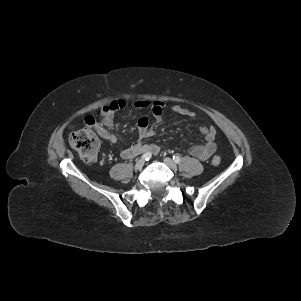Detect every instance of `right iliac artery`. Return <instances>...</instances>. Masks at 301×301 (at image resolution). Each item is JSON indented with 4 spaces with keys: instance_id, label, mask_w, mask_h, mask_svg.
<instances>
[{
    "instance_id": "obj_1",
    "label": "right iliac artery",
    "mask_w": 301,
    "mask_h": 301,
    "mask_svg": "<svg viewBox=\"0 0 301 301\" xmlns=\"http://www.w3.org/2000/svg\"><path fill=\"white\" fill-rule=\"evenodd\" d=\"M151 153L150 152H146V153H144L142 156H141V158L142 159H144V160H146V161H148L150 158H151Z\"/></svg>"
}]
</instances>
